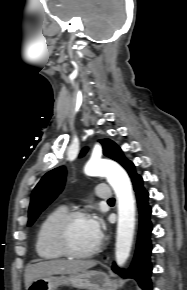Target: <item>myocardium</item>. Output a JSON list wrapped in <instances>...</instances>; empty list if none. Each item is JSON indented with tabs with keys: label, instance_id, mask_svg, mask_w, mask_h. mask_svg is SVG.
Here are the masks:
<instances>
[{
	"label": "myocardium",
	"instance_id": "obj_1",
	"mask_svg": "<svg viewBox=\"0 0 187 290\" xmlns=\"http://www.w3.org/2000/svg\"><path fill=\"white\" fill-rule=\"evenodd\" d=\"M89 217L88 213L84 210H70L64 213L55 223L52 231L53 242L58 251L64 256L70 258H89L99 252L102 246V240L99 239L98 243L87 251H78L73 248L69 239V230L74 220L79 218Z\"/></svg>",
	"mask_w": 187,
	"mask_h": 290
}]
</instances>
